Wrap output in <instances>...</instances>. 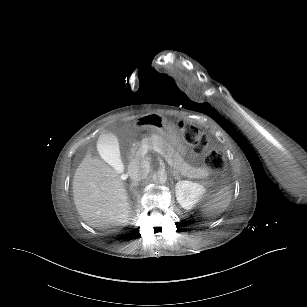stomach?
<instances>
[{
    "label": "stomach",
    "instance_id": "0dacf381",
    "mask_svg": "<svg viewBox=\"0 0 307 307\" xmlns=\"http://www.w3.org/2000/svg\"><path fill=\"white\" fill-rule=\"evenodd\" d=\"M139 124H147L158 133H160L173 147H175L178 153L184 155L186 148L182 142L181 136L175 126L168 122L165 118L158 114H149L138 119Z\"/></svg>",
    "mask_w": 307,
    "mask_h": 307
}]
</instances>
